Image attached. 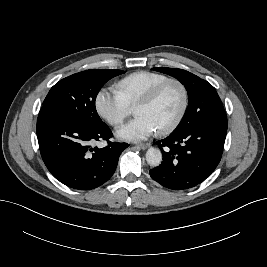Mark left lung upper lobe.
Wrapping results in <instances>:
<instances>
[{
	"instance_id": "1",
	"label": "left lung upper lobe",
	"mask_w": 267,
	"mask_h": 267,
	"mask_svg": "<svg viewBox=\"0 0 267 267\" xmlns=\"http://www.w3.org/2000/svg\"><path fill=\"white\" fill-rule=\"evenodd\" d=\"M155 71L178 79L188 92L189 105L186 114L175 132L185 130L204 120L207 114L218 113L226 116L222 102L215 88L206 80L177 68L159 67Z\"/></svg>"
}]
</instances>
